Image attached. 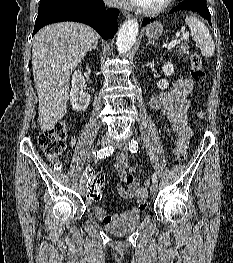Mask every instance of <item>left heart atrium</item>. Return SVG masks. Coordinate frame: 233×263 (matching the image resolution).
I'll return each instance as SVG.
<instances>
[{"label":"left heart atrium","mask_w":233,"mask_h":263,"mask_svg":"<svg viewBox=\"0 0 233 263\" xmlns=\"http://www.w3.org/2000/svg\"><path fill=\"white\" fill-rule=\"evenodd\" d=\"M129 1L132 2V3L138 4L140 0H129Z\"/></svg>","instance_id":"1"}]
</instances>
